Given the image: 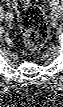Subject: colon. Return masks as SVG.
I'll list each match as a JSON object with an SVG mask.
<instances>
[{"label": "colon", "instance_id": "5ec220e1", "mask_svg": "<svg viewBox=\"0 0 63 107\" xmlns=\"http://www.w3.org/2000/svg\"><path fill=\"white\" fill-rule=\"evenodd\" d=\"M13 5L18 15L25 47L30 51L38 50L48 36L42 9L29 0H15Z\"/></svg>", "mask_w": 63, "mask_h": 107}]
</instances>
